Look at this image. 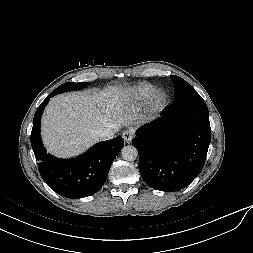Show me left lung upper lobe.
Instances as JSON below:
<instances>
[{
  "label": "left lung upper lobe",
  "mask_w": 253,
  "mask_h": 253,
  "mask_svg": "<svg viewBox=\"0 0 253 253\" xmlns=\"http://www.w3.org/2000/svg\"><path fill=\"white\" fill-rule=\"evenodd\" d=\"M171 79L175 88V103L198 94L189 83L179 76L171 75Z\"/></svg>",
  "instance_id": "1"
}]
</instances>
